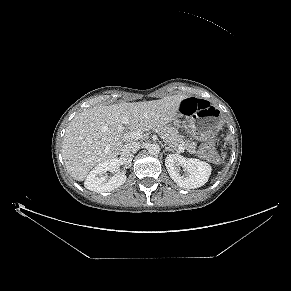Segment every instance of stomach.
Returning <instances> with one entry per match:
<instances>
[{
	"instance_id": "0dacf381",
	"label": "stomach",
	"mask_w": 291,
	"mask_h": 291,
	"mask_svg": "<svg viewBox=\"0 0 291 291\" xmlns=\"http://www.w3.org/2000/svg\"><path fill=\"white\" fill-rule=\"evenodd\" d=\"M182 115H177L173 120L175 126H180ZM190 134L199 139L210 138L221 129L223 120L220 111L214 106L200 109L186 118L184 122Z\"/></svg>"
}]
</instances>
